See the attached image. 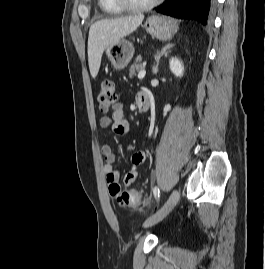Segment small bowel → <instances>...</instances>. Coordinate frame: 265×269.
<instances>
[{
    "label": "small bowel",
    "instance_id": "1",
    "mask_svg": "<svg viewBox=\"0 0 265 269\" xmlns=\"http://www.w3.org/2000/svg\"><path fill=\"white\" fill-rule=\"evenodd\" d=\"M141 93L136 95V102L138 101V96ZM138 104V103H137ZM99 125L101 128L108 129L112 128L115 134L123 136L129 132V122L124 116L122 104H117L114 112L111 117L102 116L99 119ZM101 152L105 159L104 173L106 181L109 184L110 188L115 186L118 187L119 175L114 170L113 164L116 161V154L113 151L112 147L109 144H104L101 148ZM147 158V152L145 150H139L132 154L131 156V168L124 177V184L129 186L133 184L138 178L141 166Z\"/></svg>",
    "mask_w": 265,
    "mask_h": 269
}]
</instances>
